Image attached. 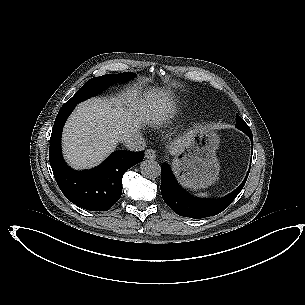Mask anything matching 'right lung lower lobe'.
<instances>
[{"mask_svg": "<svg viewBox=\"0 0 305 305\" xmlns=\"http://www.w3.org/2000/svg\"><path fill=\"white\" fill-rule=\"evenodd\" d=\"M74 107L65 103L54 122L49 150L53 174L69 201L86 210L107 211L120 199L123 174L143 160L144 152L116 151L93 169H71L62 158L61 133Z\"/></svg>", "mask_w": 305, "mask_h": 305, "instance_id": "right-lung-lower-lobe-1", "label": "right lung lower lobe"}]
</instances>
